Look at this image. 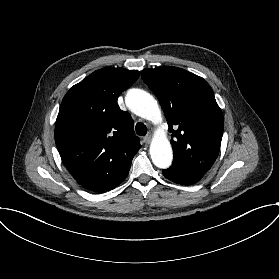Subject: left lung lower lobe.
I'll use <instances>...</instances> for the list:
<instances>
[{"instance_id":"obj_1","label":"left lung lower lobe","mask_w":279,"mask_h":279,"mask_svg":"<svg viewBox=\"0 0 279 279\" xmlns=\"http://www.w3.org/2000/svg\"><path fill=\"white\" fill-rule=\"evenodd\" d=\"M163 175L167 179L181 185L195 184L203 177V175L192 174L175 167H170L169 169L163 170Z\"/></svg>"}]
</instances>
